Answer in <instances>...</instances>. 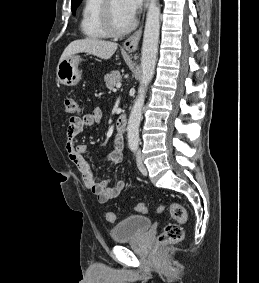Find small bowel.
<instances>
[{"mask_svg": "<svg viewBox=\"0 0 259 283\" xmlns=\"http://www.w3.org/2000/svg\"><path fill=\"white\" fill-rule=\"evenodd\" d=\"M102 111L100 108H94L82 117H70L68 120L67 142L65 150L69 160L79 170L85 187L96 195L100 203L117 198L125 190L127 183L119 180L114 186L109 185L107 179L100 180L92 171L89 163L85 160L84 155L89 152L85 144L74 143V139L83 131L84 128L95 127L100 123ZM124 157V142L120 137L114 139L113 149L107 154L106 160L110 163H120Z\"/></svg>", "mask_w": 259, "mask_h": 283, "instance_id": "small-bowel-1", "label": "small bowel"}]
</instances>
